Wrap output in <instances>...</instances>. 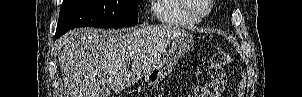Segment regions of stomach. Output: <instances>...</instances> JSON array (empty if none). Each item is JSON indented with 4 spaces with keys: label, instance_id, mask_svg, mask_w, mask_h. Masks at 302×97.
<instances>
[{
    "label": "stomach",
    "instance_id": "obj_1",
    "mask_svg": "<svg viewBox=\"0 0 302 97\" xmlns=\"http://www.w3.org/2000/svg\"><path fill=\"white\" fill-rule=\"evenodd\" d=\"M193 43L194 39L191 34L184 32L177 35L169 49L163 53L156 65L145 75L146 83L151 86L159 84L191 49Z\"/></svg>",
    "mask_w": 302,
    "mask_h": 97
}]
</instances>
